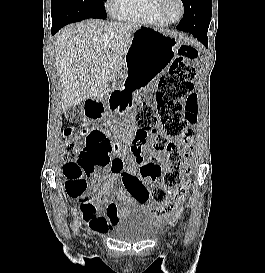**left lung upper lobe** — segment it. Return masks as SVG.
I'll return each mask as SVG.
<instances>
[{
  "label": "left lung upper lobe",
  "mask_w": 265,
  "mask_h": 273,
  "mask_svg": "<svg viewBox=\"0 0 265 273\" xmlns=\"http://www.w3.org/2000/svg\"><path fill=\"white\" fill-rule=\"evenodd\" d=\"M182 2L184 5V11L192 5V0H182ZM211 11H212V7L208 8L205 14V20H206L207 26H209V23L211 20Z\"/></svg>",
  "instance_id": "obj_1"
}]
</instances>
